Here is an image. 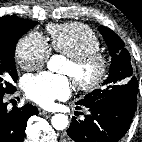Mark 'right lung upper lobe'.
<instances>
[{"label": "right lung upper lobe", "mask_w": 142, "mask_h": 142, "mask_svg": "<svg viewBox=\"0 0 142 142\" xmlns=\"http://www.w3.org/2000/svg\"><path fill=\"white\" fill-rule=\"evenodd\" d=\"M12 17H14V16H6V17H2V18H4V19H11Z\"/></svg>", "instance_id": "cb5924a9"}]
</instances>
